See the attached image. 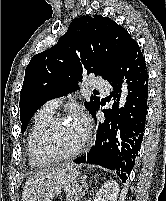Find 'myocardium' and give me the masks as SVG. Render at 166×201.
<instances>
[{
    "instance_id": "f54148a6",
    "label": "myocardium",
    "mask_w": 166,
    "mask_h": 201,
    "mask_svg": "<svg viewBox=\"0 0 166 201\" xmlns=\"http://www.w3.org/2000/svg\"><path fill=\"white\" fill-rule=\"evenodd\" d=\"M66 117L63 115H53L51 118L43 122L36 131L34 138V156L38 163L45 164L57 161H64L72 159L79 155L84 148V141L81 145L72 152L60 154L56 153L44 145V140L48 132L58 123L65 121Z\"/></svg>"
}]
</instances>
